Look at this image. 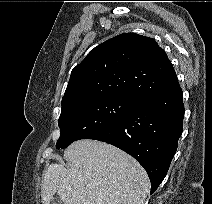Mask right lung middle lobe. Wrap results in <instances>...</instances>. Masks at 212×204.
Returning <instances> with one entry per match:
<instances>
[{"label":"right lung middle lobe","mask_w":212,"mask_h":204,"mask_svg":"<svg viewBox=\"0 0 212 204\" xmlns=\"http://www.w3.org/2000/svg\"><path fill=\"white\" fill-rule=\"evenodd\" d=\"M137 101L122 97H100L62 108L58 124L60 138L56 148L103 133L121 121Z\"/></svg>","instance_id":"dd1d6c3e"}]
</instances>
